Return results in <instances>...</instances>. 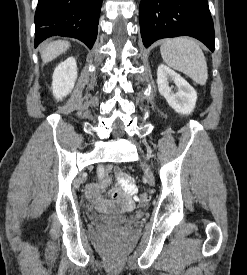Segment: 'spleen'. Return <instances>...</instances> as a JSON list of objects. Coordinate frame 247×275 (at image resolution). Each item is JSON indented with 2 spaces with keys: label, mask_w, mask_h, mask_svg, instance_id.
I'll return each instance as SVG.
<instances>
[{
  "label": "spleen",
  "mask_w": 247,
  "mask_h": 275,
  "mask_svg": "<svg viewBox=\"0 0 247 275\" xmlns=\"http://www.w3.org/2000/svg\"><path fill=\"white\" fill-rule=\"evenodd\" d=\"M164 62L183 72L194 82L205 85L208 79L206 59L199 44L187 37L167 39L160 47Z\"/></svg>",
  "instance_id": "obj_1"
}]
</instances>
